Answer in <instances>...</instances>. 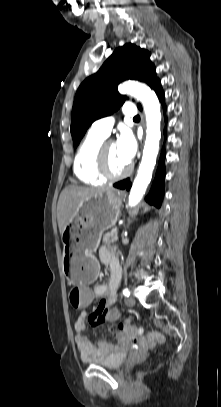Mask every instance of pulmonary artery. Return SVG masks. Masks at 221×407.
I'll return each mask as SVG.
<instances>
[{"label": "pulmonary artery", "instance_id": "pulmonary-artery-1", "mask_svg": "<svg viewBox=\"0 0 221 407\" xmlns=\"http://www.w3.org/2000/svg\"><path fill=\"white\" fill-rule=\"evenodd\" d=\"M122 112L127 117H134L137 114V109L133 104L127 103L123 106ZM113 124H114L113 117H111V116L104 117V118L96 120L92 124L91 131L107 137L111 132Z\"/></svg>", "mask_w": 221, "mask_h": 407}]
</instances>
